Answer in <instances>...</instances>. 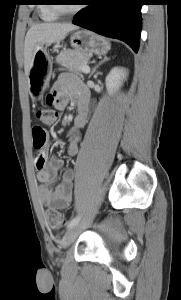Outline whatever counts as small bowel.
<instances>
[{
    "label": "small bowel",
    "instance_id": "obj_1",
    "mask_svg": "<svg viewBox=\"0 0 181 300\" xmlns=\"http://www.w3.org/2000/svg\"><path fill=\"white\" fill-rule=\"evenodd\" d=\"M52 102L58 110H63L67 106L69 97H73L77 104L76 115L69 130V141L67 153L75 157L80 148V129L85 125L88 108V92L79 79L69 73L60 74L52 88ZM41 154L45 157V164L38 168L37 179L40 182L38 193L41 203L45 207H55L66 209L73 193L74 170L66 169L60 182L52 187L58 173L63 169V160L53 156L47 159L46 151Z\"/></svg>",
    "mask_w": 181,
    "mask_h": 300
}]
</instances>
